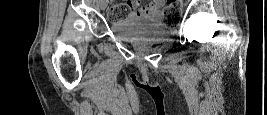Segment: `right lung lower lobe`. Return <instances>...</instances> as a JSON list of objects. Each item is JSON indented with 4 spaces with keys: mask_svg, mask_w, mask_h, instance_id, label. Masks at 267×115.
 Masks as SVG:
<instances>
[{
    "mask_svg": "<svg viewBox=\"0 0 267 115\" xmlns=\"http://www.w3.org/2000/svg\"><path fill=\"white\" fill-rule=\"evenodd\" d=\"M144 89H146V90H148V91L150 90V88H144Z\"/></svg>",
    "mask_w": 267,
    "mask_h": 115,
    "instance_id": "1",
    "label": "right lung lower lobe"
}]
</instances>
